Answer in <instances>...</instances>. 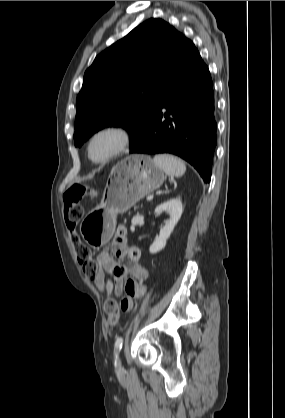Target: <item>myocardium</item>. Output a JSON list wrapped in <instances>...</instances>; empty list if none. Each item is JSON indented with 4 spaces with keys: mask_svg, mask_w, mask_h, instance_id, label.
I'll return each mask as SVG.
<instances>
[{
    "mask_svg": "<svg viewBox=\"0 0 285 418\" xmlns=\"http://www.w3.org/2000/svg\"><path fill=\"white\" fill-rule=\"evenodd\" d=\"M102 135H113L116 138V144L108 154L96 159L92 156L91 147L93 142ZM130 144L131 135L126 128L120 125H105L89 135L86 141V156L94 164H105L125 153L129 149Z\"/></svg>",
    "mask_w": 285,
    "mask_h": 418,
    "instance_id": "myocardium-1",
    "label": "myocardium"
}]
</instances>
